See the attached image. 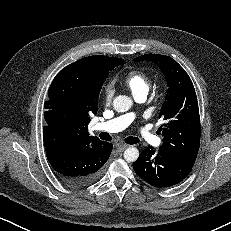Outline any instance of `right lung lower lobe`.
Wrapping results in <instances>:
<instances>
[{
  "mask_svg": "<svg viewBox=\"0 0 231 231\" xmlns=\"http://www.w3.org/2000/svg\"><path fill=\"white\" fill-rule=\"evenodd\" d=\"M43 133L49 163L57 177L73 188L87 186L98 178L113 147L108 142L84 148L68 146L54 139L46 126Z\"/></svg>",
  "mask_w": 231,
  "mask_h": 231,
  "instance_id": "right-lung-lower-lobe-1",
  "label": "right lung lower lobe"
}]
</instances>
